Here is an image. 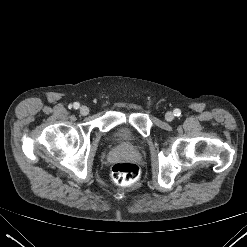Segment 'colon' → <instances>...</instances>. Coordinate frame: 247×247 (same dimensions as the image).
<instances>
[{
    "mask_svg": "<svg viewBox=\"0 0 247 247\" xmlns=\"http://www.w3.org/2000/svg\"><path fill=\"white\" fill-rule=\"evenodd\" d=\"M139 167L131 162H120L112 167V178L121 186H130L139 179Z\"/></svg>",
    "mask_w": 247,
    "mask_h": 247,
    "instance_id": "obj_1",
    "label": "colon"
}]
</instances>
